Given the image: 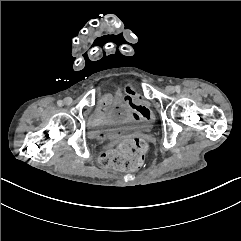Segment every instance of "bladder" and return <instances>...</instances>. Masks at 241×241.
Returning a JSON list of instances; mask_svg holds the SVG:
<instances>
[{
  "label": "bladder",
  "instance_id": "31cf9c89",
  "mask_svg": "<svg viewBox=\"0 0 241 241\" xmlns=\"http://www.w3.org/2000/svg\"><path fill=\"white\" fill-rule=\"evenodd\" d=\"M132 110L124 98H116L113 106L105 113L106 121L111 125L126 124L131 121Z\"/></svg>",
  "mask_w": 241,
  "mask_h": 241
}]
</instances>
